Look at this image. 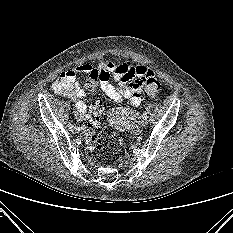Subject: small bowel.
Instances as JSON below:
<instances>
[{
    "label": "small bowel",
    "instance_id": "small-bowel-1",
    "mask_svg": "<svg viewBox=\"0 0 233 233\" xmlns=\"http://www.w3.org/2000/svg\"><path fill=\"white\" fill-rule=\"evenodd\" d=\"M95 69L91 64H81L64 72L69 80L70 88L61 93L70 98L76 106V116L81 121L86 113L85 104L86 93L80 88L77 75L80 73L89 74ZM99 70L109 75V79L115 82L111 83L109 79L101 82L102 91L114 101L120 102L127 99L131 105L139 106L141 103L140 91L146 78L154 76L153 70L145 65H132L129 62L115 64L110 60H102L99 63Z\"/></svg>",
    "mask_w": 233,
    "mask_h": 233
}]
</instances>
